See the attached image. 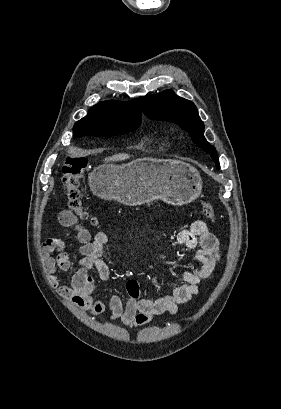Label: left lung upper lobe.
Segmentation results:
<instances>
[{"mask_svg":"<svg viewBox=\"0 0 281 409\" xmlns=\"http://www.w3.org/2000/svg\"><path fill=\"white\" fill-rule=\"evenodd\" d=\"M140 101L144 113L149 118L174 122L187 130L193 142L210 153L216 162V167L220 169L216 149L206 141L203 135L204 124L193 102L178 97L168 90L156 95L140 97Z\"/></svg>","mask_w":281,"mask_h":409,"instance_id":"1","label":"left lung upper lobe"}]
</instances>
